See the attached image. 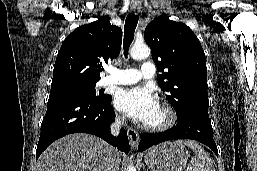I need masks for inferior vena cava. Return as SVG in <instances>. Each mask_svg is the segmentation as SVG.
Wrapping results in <instances>:
<instances>
[{"instance_id": "1", "label": "inferior vena cava", "mask_w": 257, "mask_h": 171, "mask_svg": "<svg viewBox=\"0 0 257 171\" xmlns=\"http://www.w3.org/2000/svg\"><path fill=\"white\" fill-rule=\"evenodd\" d=\"M125 123V118L122 117H118L116 118L115 122L111 124L110 126V131L113 135H118L119 134V130H120V126L123 125ZM110 147V154L107 157L105 166H104V171H119V165L117 164L114 156H113V152H114V148Z\"/></svg>"}]
</instances>
